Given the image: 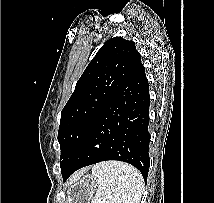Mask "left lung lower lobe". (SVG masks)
Returning a JSON list of instances; mask_svg holds the SVG:
<instances>
[{"label": "left lung lower lobe", "instance_id": "0a47b994", "mask_svg": "<svg viewBox=\"0 0 214 203\" xmlns=\"http://www.w3.org/2000/svg\"><path fill=\"white\" fill-rule=\"evenodd\" d=\"M149 85L142 63L103 109L62 174L64 181L76 170L106 160L132 164L147 181L149 168Z\"/></svg>", "mask_w": 214, "mask_h": 203}]
</instances>
